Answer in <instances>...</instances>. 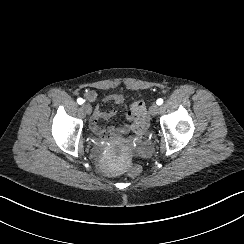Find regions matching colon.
Instances as JSON below:
<instances>
[{
  "label": "colon",
  "instance_id": "colon-1",
  "mask_svg": "<svg viewBox=\"0 0 244 244\" xmlns=\"http://www.w3.org/2000/svg\"><path fill=\"white\" fill-rule=\"evenodd\" d=\"M131 110L133 115L136 117V121L133 127L134 132L138 134L144 133L148 122V113L145 104L142 101H135L131 105ZM140 174H141V168L138 165H133L128 170V175L131 178H136L140 176Z\"/></svg>",
  "mask_w": 244,
  "mask_h": 244
}]
</instances>
